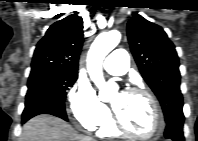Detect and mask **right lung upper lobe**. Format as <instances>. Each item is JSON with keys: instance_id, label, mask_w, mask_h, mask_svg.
<instances>
[{"instance_id": "right-lung-upper-lobe-1", "label": "right lung upper lobe", "mask_w": 198, "mask_h": 141, "mask_svg": "<svg viewBox=\"0 0 198 141\" xmlns=\"http://www.w3.org/2000/svg\"><path fill=\"white\" fill-rule=\"evenodd\" d=\"M83 43V21L77 14L54 23L36 46L31 73H77Z\"/></svg>"}]
</instances>
